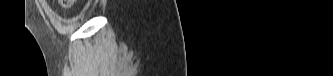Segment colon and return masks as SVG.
Instances as JSON below:
<instances>
[{
  "label": "colon",
  "instance_id": "colon-1",
  "mask_svg": "<svg viewBox=\"0 0 333 76\" xmlns=\"http://www.w3.org/2000/svg\"><path fill=\"white\" fill-rule=\"evenodd\" d=\"M74 0H60L59 3L63 8H69L73 5Z\"/></svg>",
  "mask_w": 333,
  "mask_h": 76
}]
</instances>
